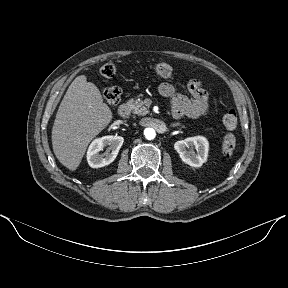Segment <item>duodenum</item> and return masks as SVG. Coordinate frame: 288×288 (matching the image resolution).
<instances>
[{
    "label": "duodenum",
    "instance_id": "1",
    "mask_svg": "<svg viewBox=\"0 0 288 288\" xmlns=\"http://www.w3.org/2000/svg\"><path fill=\"white\" fill-rule=\"evenodd\" d=\"M118 114L122 117V118H127L130 115V106L126 103H123L119 106L118 108Z\"/></svg>",
    "mask_w": 288,
    "mask_h": 288
}]
</instances>
